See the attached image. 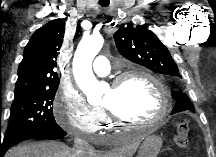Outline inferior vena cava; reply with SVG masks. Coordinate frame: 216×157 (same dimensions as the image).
<instances>
[{"label":"inferior vena cava","mask_w":216,"mask_h":157,"mask_svg":"<svg viewBox=\"0 0 216 157\" xmlns=\"http://www.w3.org/2000/svg\"><path fill=\"white\" fill-rule=\"evenodd\" d=\"M75 152L79 157H87L93 151V148L87 141L81 139L78 135L74 139Z\"/></svg>","instance_id":"602c4592"}]
</instances>
